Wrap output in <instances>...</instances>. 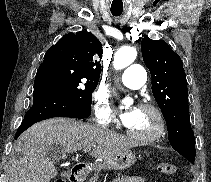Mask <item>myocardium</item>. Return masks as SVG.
I'll list each match as a JSON object with an SVG mask.
<instances>
[{"label": "myocardium", "mask_w": 211, "mask_h": 182, "mask_svg": "<svg viewBox=\"0 0 211 182\" xmlns=\"http://www.w3.org/2000/svg\"><path fill=\"white\" fill-rule=\"evenodd\" d=\"M140 108L150 110V111H152L155 114V116L157 118V121H158V126H157L156 130L151 135L140 136V135H137L132 130H130L128 127H126V133L133 140H135V141H137V142H139L141 144L154 143L158 139H160L164 135V133L166 131V126H167L166 118H165L163 112L161 111V109L158 106H156V105H154L152 103H142L140 105Z\"/></svg>", "instance_id": "f54148a6"}]
</instances>
